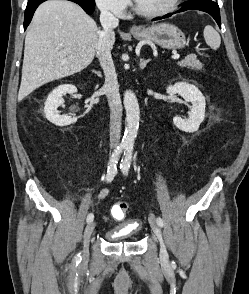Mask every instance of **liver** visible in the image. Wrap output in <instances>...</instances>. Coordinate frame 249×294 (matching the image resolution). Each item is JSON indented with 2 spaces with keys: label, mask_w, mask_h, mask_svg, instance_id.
Listing matches in <instances>:
<instances>
[{
  "label": "liver",
  "mask_w": 249,
  "mask_h": 294,
  "mask_svg": "<svg viewBox=\"0 0 249 294\" xmlns=\"http://www.w3.org/2000/svg\"><path fill=\"white\" fill-rule=\"evenodd\" d=\"M101 31L83 9L48 0L34 13L25 38L18 100L40 86L85 69L93 61ZM112 46L115 34L111 37Z\"/></svg>",
  "instance_id": "1"
}]
</instances>
